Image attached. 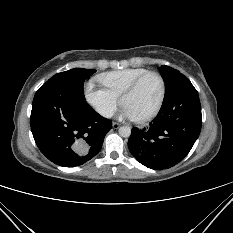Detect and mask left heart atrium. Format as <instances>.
Returning <instances> with one entry per match:
<instances>
[{
  "mask_svg": "<svg viewBox=\"0 0 233 233\" xmlns=\"http://www.w3.org/2000/svg\"><path fill=\"white\" fill-rule=\"evenodd\" d=\"M120 115L124 118H128V119H134V115L133 113L131 112V110L125 106V105H122V108L120 110Z\"/></svg>",
  "mask_w": 233,
  "mask_h": 233,
  "instance_id": "obj_1",
  "label": "left heart atrium"
}]
</instances>
